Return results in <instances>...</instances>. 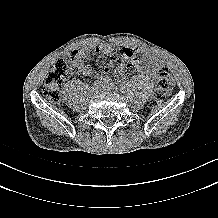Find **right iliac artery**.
Masks as SVG:
<instances>
[{"instance_id": "right-iliac-artery-1", "label": "right iliac artery", "mask_w": 218, "mask_h": 218, "mask_svg": "<svg viewBox=\"0 0 218 218\" xmlns=\"http://www.w3.org/2000/svg\"><path fill=\"white\" fill-rule=\"evenodd\" d=\"M105 81V79L104 78H98L95 82H94V84L96 85V84H101V83H103Z\"/></svg>"}]
</instances>
